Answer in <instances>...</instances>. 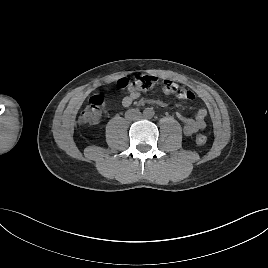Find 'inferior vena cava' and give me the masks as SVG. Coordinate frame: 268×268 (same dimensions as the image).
<instances>
[{"label": "inferior vena cava", "mask_w": 268, "mask_h": 268, "mask_svg": "<svg viewBox=\"0 0 268 268\" xmlns=\"http://www.w3.org/2000/svg\"><path fill=\"white\" fill-rule=\"evenodd\" d=\"M127 119L137 120L141 117V113L138 110H128L125 114Z\"/></svg>", "instance_id": "obj_1"}]
</instances>
